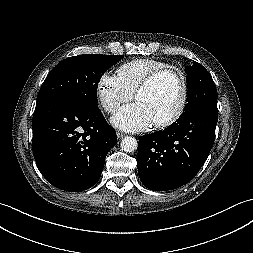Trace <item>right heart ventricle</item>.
<instances>
[{
  "mask_svg": "<svg viewBox=\"0 0 253 253\" xmlns=\"http://www.w3.org/2000/svg\"><path fill=\"white\" fill-rule=\"evenodd\" d=\"M168 66L167 63L157 59L137 58L120 65L116 73L119 81L134 94L150 73Z\"/></svg>",
  "mask_w": 253,
  "mask_h": 253,
  "instance_id": "e07e8e85",
  "label": "right heart ventricle"
}]
</instances>
